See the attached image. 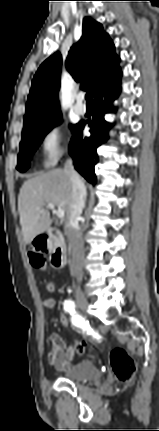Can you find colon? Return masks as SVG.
<instances>
[{"mask_svg": "<svg viewBox=\"0 0 159 431\" xmlns=\"http://www.w3.org/2000/svg\"><path fill=\"white\" fill-rule=\"evenodd\" d=\"M44 244L39 240L30 249V263L34 268L42 269L45 266L44 257ZM48 309L54 308L53 302L47 303ZM59 327L62 330H69L71 328V320L68 313H59L58 317ZM91 343H96V338H91ZM73 345L77 349L79 359L85 358L87 345L80 339H74ZM110 365L115 377L121 382H130L136 372V362L123 348H114L110 353Z\"/></svg>", "mask_w": 159, "mask_h": 431, "instance_id": "obj_1", "label": "colon"}]
</instances>
